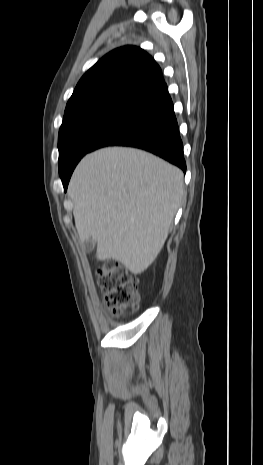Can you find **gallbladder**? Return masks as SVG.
<instances>
[{"instance_id":"gallbladder-1","label":"gallbladder","mask_w":263,"mask_h":465,"mask_svg":"<svg viewBox=\"0 0 263 465\" xmlns=\"http://www.w3.org/2000/svg\"><path fill=\"white\" fill-rule=\"evenodd\" d=\"M94 247L95 241L92 238L87 239L82 244V249L87 253L91 252L94 249Z\"/></svg>"}]
</instances>
